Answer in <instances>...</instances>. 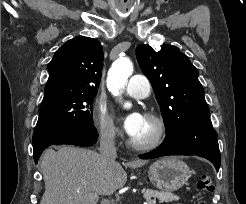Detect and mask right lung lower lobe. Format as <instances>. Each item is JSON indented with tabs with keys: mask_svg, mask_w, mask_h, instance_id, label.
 I'll list each match as a JSON object with an SVG mask.
<instances>
[{
	"mask_svg": "<svg viewBox=\"0 0 246 204\" xmlns=\"http://www.w3.org/2000/svg\"><path fill=\"white\" fill-rule=\"evenodd\" d=\"M98 138L96 129L78 127L63 132L51 134L41 133L33 137V157L37 163L41 153L50 145L72 144L78 146H91Z\"/></svg>",
	"mask_w": 246,
	"mask_h": 204,
	"instance_id": "1",
	"label": "right lung lower lobe"
}]
</instances>
